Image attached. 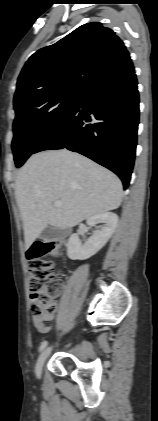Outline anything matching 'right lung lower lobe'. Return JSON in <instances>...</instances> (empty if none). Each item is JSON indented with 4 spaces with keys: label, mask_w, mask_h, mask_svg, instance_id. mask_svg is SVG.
<instances>
[{
    "label": "right lung lower lobe",
    "mask_w": 158,
    "mask_h": 421,
    "mask_svg": "<svg viewBox=\"0 0 158 421\" xmlns=\"http://www.w3.org/2000/svg\"><path fill=\"white\" fill-rule=\"evenodd\" d=\"M139 94L129 52L99 70L79 100L34 153L67 148L116 173L127 188L132 173Z\"/></svg>",
    "instance_id": "98d812e1"
}]
</instances>
